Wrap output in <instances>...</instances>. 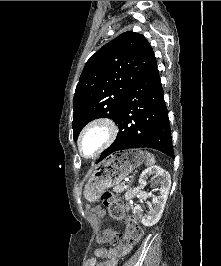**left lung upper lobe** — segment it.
I'll use <instances>...</instances> for the list:
<instances>
[{
	"mask_svg": "<svg viewBox=\"0 0 221 266\" xmlns=\"http://www.w3.org/2000/svg\"><path fill=\"white\" fill-rule=\"evenodd\" d=\"M157 68L152 47L136 32H125L105 44L86 62L73 100V138L97 118H119L131 87Z\"/></svg>",
	"mask_w": 221,
	"mask_h": 266,
	"instance_id": "1",
	"label": "left lung upper lobe"
}]
</instances>
